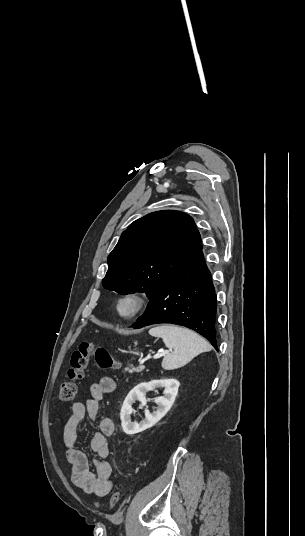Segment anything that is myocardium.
<instances>
[{"instance_id":"f54148a6","label":"myocardium","mask_w":305,"mask_h":536,"mask_svg":"<svg viewBox=\"0 0 305 536\" xmlns=\"http://www.w3.org/2000/svg\"><path fill=\"white\" fill-rule=\"evenodd\" d=\"M126 298H132L136 300L137 302V306L135 310H133L129 314H123L119 307L120 302ZM149 305H150V299H149L148 294L145 291L140 290V289H130V290L122 292L117 297L115 304H114V311L120 319L131 321L144 315L147 312Z\"/></svg>"}]
</instances>
